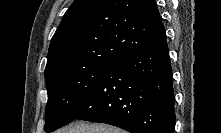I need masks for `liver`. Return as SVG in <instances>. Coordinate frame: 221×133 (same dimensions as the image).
<instances>
[{
	"label": "liver",
	"instance_id": "obj_1",
	"mask_svg": "<svg viewBox=\"0 0 221 133\" xmlns=\"http://www.w3.org/2000/svg\"><path fill=\"white\" fill-rule=\"evenodd\" d=\"M57 133H124V131L106 124L78 121L58 130Z\"/></svg>",
	"mask_w": 221,
	"mask_h": 133
}]
</instances>
